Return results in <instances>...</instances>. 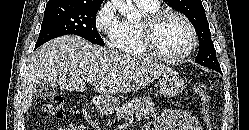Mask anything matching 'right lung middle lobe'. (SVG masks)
<instances>
[{"label": "right lung middle lobe", "instance_id": "1", "mask_svg": "<svg viewBox=\"0 0 249 130\" xmlns=\"http://www.w3.org/2000/svg\"><path fill=\"white\" fill-rule=\"evenodd\" d=\"M100 6L101 3L80 4L70 1L46 5L35 48L53 38L67 34L78 35L103 46L104 41L96 29V14Z\"/></svg>", "mask_w": 249, "mask_h": 130}]
</instances>
